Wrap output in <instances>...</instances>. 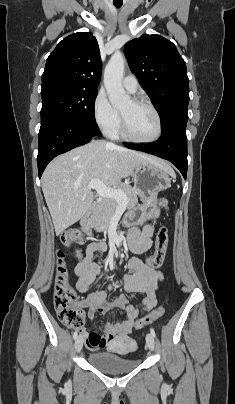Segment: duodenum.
I'll use <instances>...</instances> for the list:
<instances>
[{
    "label": "duodenum",
    "mask_w": 235,
    "mask_h": 404,
    "mask_svg": "<svg viewBox=\"0 0 235 404\" xmlns=\"http://www.w3.org/2000/svg\"><path fill=\"white\" fill-rule=\"evenodd\" d=\"M92 222V215L89 213L82 219V226L87 230Z\"/></svg>",
    "instance_id": "1"
}]
</instances>
